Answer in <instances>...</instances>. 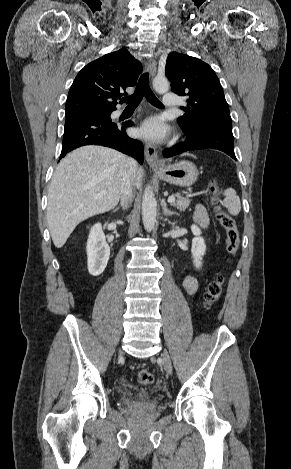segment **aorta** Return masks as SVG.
I'll return each mask as SVG.
<instances>
[{
    "label": "aorta",
    "mask_w": 291,
    "mask_h": 469,
    "mask_svg": "<svg viewBox=\"0 0 291 469\" xmlns=\"http://www.w3.org/2000/svg\"><path fill=\"white\" fill-rule=\"evenodd\" d=\"M153 87L159 94H164L169 90V83L165 77L157 76L153 80ZM157 203L150 186L145 188L142 200V219L147 232L153 230L156 222Z\"/></svg>",
    "instance_id": "obj_1"
}]
</instances>
